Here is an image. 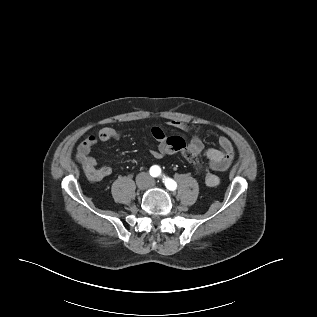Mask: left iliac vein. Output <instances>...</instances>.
<instances>
[{
  "instance_id": "1",
  "label": "left iliac vein",
  "mask_w": 317,
  "mask_h": 317,
  "mask_svg": "<svg viewBox=\"0 0 317 317\" xmlns=\"http://www.w3.org/2000/svg\"><path fill=\"white\" fill-rule=\"evenodd\" d=\"M155 185H156V183H155L154 180H151V181L149 182V186L154 187Z\"/></svg>"
}]
</instances>
